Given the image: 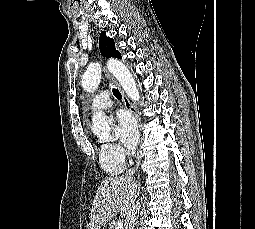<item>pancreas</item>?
Segmentation results:
<instances>
[{
	"label": "pancreas",
	"mask_w": 255,
	"mask_h": 229,
	"mask_svg": "<svg viewBox=\"0 0 255 229\" xmlns=\"http://www.w3.org/2000/svg\"><path fill=\"white\" fill-rule=\"evenodd\" d=\"M109 229H115V225H113V224L110 225V226H109Z\"/></svg>",
	"instance_id": "1"
}]
</instances>
